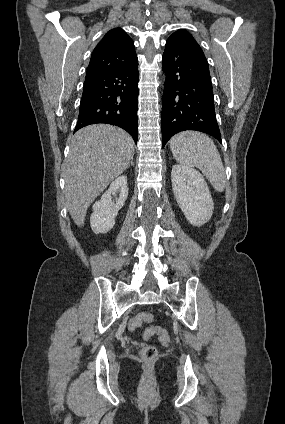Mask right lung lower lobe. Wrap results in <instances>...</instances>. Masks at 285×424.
Wrapping results in <instances>:
<instances>
[{
	"mask_svg": "<svg viewBox=\"0 0 285 424\" xmlns=\"http://www.w3.org/2000/svg\"><path fill=\"white\" fill-rule=\"evenodd\" d=\"M138 59L110 72L86 77L75 131L96 123H107L138 138Z\"/></svg>",
	"mask_w": 285,
	"mask_h": 424,
	"instance_id": "98d812e1",
	"label": "right lung lower lobe"
}]
</instances>
